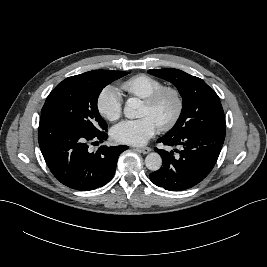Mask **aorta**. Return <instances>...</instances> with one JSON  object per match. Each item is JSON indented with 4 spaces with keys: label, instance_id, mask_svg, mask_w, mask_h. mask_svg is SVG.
<instances>
[{
    "label": "aorta",
    "instance_id": "aorta-1",
    "mask_svg": "<svg viewBox=\"0 0 267 267\" xmlns=\"http://www.w3.org/2000/svg\"><path fill=\"white\" fill-rule=\"evenodd\" d=\"M142 107L143 104L138 98H130L124 107V115L129 119L139 118L142 116ZM145 165L151 171H157L162 165L161 156L152 152L149 153L145 158Z\"/></svg>",
    "mask_w": 267,
    "mask_h": 267
}]
</instances>
